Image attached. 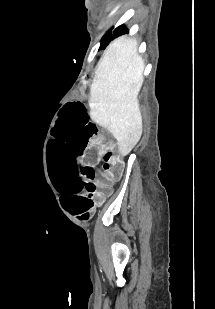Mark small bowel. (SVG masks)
I'll use <instances>...</instances> for the list:
<instances>
[{
	"mask_svg": "<svg viewBox=\"0 0 215 309\" xmlns=\"http://www.w3.org/2000/svg\"><path fill=\"white\" fill-rule=\"evenodd\" d=\"M99 191L96 193V201L98 204H101L104 199L109 196L112 192L110 183H97Z\"/></svg>",
	"mask_w": 215,
	"mask_h": 309,
	"instance_id": "obj_1",
	"label": "small bowel"
}]
</instances>
